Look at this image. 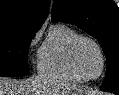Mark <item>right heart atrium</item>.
I'll list each match as a JSON object with an SVG mask.
<instances>
[{"label": "right heart atrium", "instance_id": "d8ad5b80", "mask_svg": "<svg viewBox=\"0 0 119 95\" xmlns=\"http://www.w3.org/2000/svg\"><path fill=\"white\" fill-rule=\"evenodd\" d=\"M38 38H39V34L37 33V34H35V35L33 36V38L31 39L30 45L36 44Z\"/></svg>", "mask_w": 119, "mask_h": 95}]
</instances>
